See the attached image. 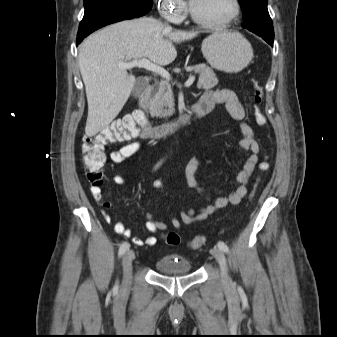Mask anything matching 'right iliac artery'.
<instances>
[{"label": "right iliac artery", "instance_id": "obj_1", "mask_svg": "<svg viewBox=\"0 0 337 337\" xmlns=\"http://www.w3.org/2000/svg\"><path fill=\"white\" fill-rule=\"evenodd\" d=\"M161 163H158L156 165V168L160 165ZM130 245L128 242H124L121 244L119 251H118V255L121 257L128 249H129Z\"/></svg>", "mask_w": 337, "mask_h": 337}]
</instances>
